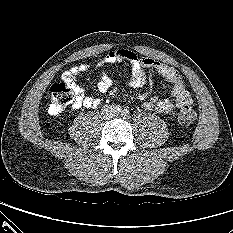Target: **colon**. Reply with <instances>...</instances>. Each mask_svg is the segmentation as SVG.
I'll list each match as a JSON object with an SVG mask.
<instances>
[{
  "label": "colon",
  "mask_w": 233,
  "mask_h": 233,
  "mask_svg": "<svg viewBox=\"0 0 233 233\" xmlns=\"http://www.w3.org/2000/svg\"><path fill=\"white\" fill-rule=\"evenodd\" d=\"M49 112L59 114L66 106L75 100V94L65 82L55 83L51 86L49 95ZM196 118V112L191 105H185L179 112V121L184 125L191 124Z\"/></svg>",
  "instance_id": "colon-1"
}]
</instances>
